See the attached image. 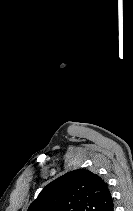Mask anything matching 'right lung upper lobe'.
<instances>
[{"label":"right lung upper lobe","mask_w":133,"mask_h":211,"mask_svg":"<svg viewBox=\"0 0 133 211\" xmlns=\"http://www.w3.org/2000/svg\"><path fill=\"white\" fill-rule=\"evenodd\" d=\"M28 211H113V199L98 175L78 169L44 187Z\"/></svg>","instance_id":"right-lung-upper-lobe-1"}]
</instances>
